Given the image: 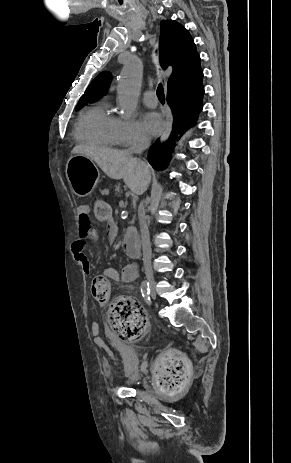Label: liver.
I'll use <instances>...</instances> for the list:
<instances>
[{"mask_svg":"<svg viewBox=\"0 0 291 463\" xmlns=\"http://www.w3.org/2000/svg\"><path fill=\"white\" fill-rule=\"evenodd\" d=\"M72 154L84 155L93 160L102 171L112 179H123L129 189L142 194L151 180L149 166L141 160L132 157L130 153L89 145H77Z\"/></svg>","mask_w":291,"mask_h":463,"instance_id":"6515ba94","label":"liver"}]
</instances>
